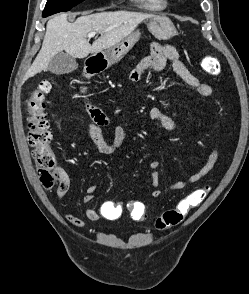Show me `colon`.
Segmentation results:
<instances>
[{
	"instance_id": "1",
	"label": "colon",
	"mask_w": 249,
	"mask_h": 294,
	"mask_svg": "<svg viewBox=\"0 0 249 294\" xmlns=\"http://www.w3.org/2000/svg\"><path fill=\"white\" fill-rule=\"evenodd\" d=\"M203 70L212 76L220 73L217 61L205 56L201 60ZM52 83L49 80L41 81L38 86L30 92L27 101V118L30 128L29 143L33 147V158L38 171L41 184L46 188L54 187L60 183L62 171L57 169L56 154L51 146L52 133L45 112L46 96L51 91ZM210 192L209 186L196 189L182 198L174 208L164 211L154 220L157 230H166L177 226L184 221L189 211L199 206ZM128 213L134 221H144L147 218L145 205L140 201H131L128 204ZM122 208L114 204L111 215L120 217Z\"/></svg>"
}]
</instances>
